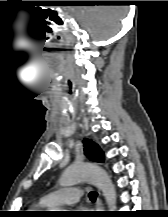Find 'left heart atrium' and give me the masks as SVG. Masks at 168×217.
Returning a JSON list of instances; mask_svg holds the SVG:
<instances>
[{"label": "left heart atrium", "mask_w": 168, "mask_h": 217, "mask_svg": "<svg viewBox=\"0 0 168 217\" xmlns=\"http://www.w3.org/2000/svg\"><path fill=\"white\" fill-rule=\"evenodd\" d=\"M77 217H82L84 215L83 210H80L76 213Z\"/></svg>", "instance_id": "39dd6f15"}]
</instances>
